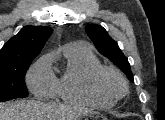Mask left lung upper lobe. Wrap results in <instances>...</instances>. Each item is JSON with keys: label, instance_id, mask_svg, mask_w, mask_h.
I'll return each mask as SVG.
<instances>
[{"label": "left lung upper lobe", "instance_id": "obj_1", "mask_svg": "<svg viewBox=\"0 0 165 120\" xmlns=\"http://www.w3.org/2000/svg\"><path fill=\"white\" fill-rule=\"evenodd\" d=\"M85 30L97 50L118 66L130 81L134 82L130 64L126 56L120 50L117 42L108 35L106 30L102 26L95 24L86 26Z\"/></svg>", "mask_w": 165, "mask_h": 120}]
</instances>
